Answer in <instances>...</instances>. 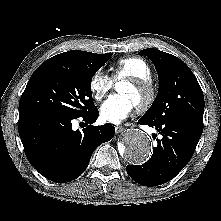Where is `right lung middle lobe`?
<instances>
[{
	"label": "right lung middle lobe",
	"mask_w": 221,
	"mask_h": 221,
	"mask_svg": "<svg viewBox=\"0 0 221 221\" xmlns=\"http://www.w3.org/2000/svg\"><path fill=\"white\" fill-rule=\"evenodd\" d=\"M112 53L99 55L84 67L41 64L32 74L19 102V109L56 111L71 117L88 114L94 106L93 75Z\"/></svg>",
	"instance_id": "1"
}]
</instances>
